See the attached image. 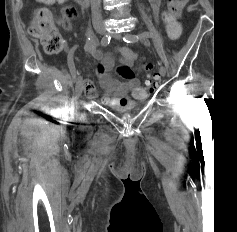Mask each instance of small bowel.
<instances>
[{
  "instance_id": "1",
  "label": "small bowel",
  "mask_w": 237,
  "mask_h": 232,
  "mask_svg": "<svg viewBox=\"0 0 237 232\" xmlns=\"http://www.w3.org/2000/svg\"><path fill=\"white\" fill-rule=\"evenodd\" d=\"M189 0H167L168 9L176 17H179L183 8ZM153 9L156 20H159L161 0H149ZM72 20L67 19L64 14L58 20V25L69 31L72 29ZM86 49L91 56L99 61L95 73L99 78V83L104 91L102 103L104 104H125L131 102L129 94L137 100H143L148 97L149 90L140 85L134 71L133 65L138 58V53L134 52L126 46L117 47V52L120 54V64L115 67L114 60L110 54H104L99 50L94 41L89 38L86 43ZM67 51V48H66ZM114 74L123 80L114 78ZM86 94L90 98L97 96V90L90 80L84 81Z\"/></svg>"
}]
</instances>
